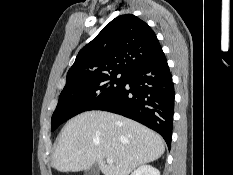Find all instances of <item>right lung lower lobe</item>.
I'll return each instance as SVG.
<instances>
[{
	"label": "right lung lower lobe",
	"mask_w": 233,
	"mask_h": 175,
	"mask_svg": "<svg viewBox=\"0 0 233 175\" xmlns=\"http://www.w3.org/2000/svg\"><path fill=\"white\" fill-rule=\"evenodd\" d=\"M174 86L164 53L128 73L125 86L98 110L131 118L158 132L171 147Z\"/></svg>",
	"instance_id": "right-lung-lower-lobe-1"
}]
</instances>
